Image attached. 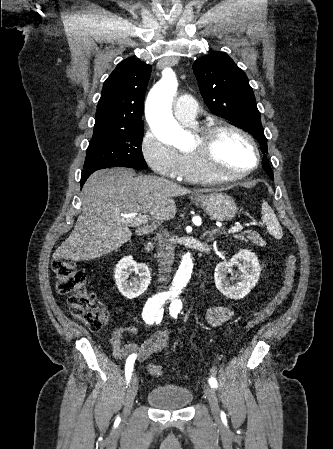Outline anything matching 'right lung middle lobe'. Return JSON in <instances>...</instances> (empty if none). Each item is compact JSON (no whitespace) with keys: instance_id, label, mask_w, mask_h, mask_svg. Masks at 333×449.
I'll return each mask as SVG.
<instances>
[{"instance_id":"obj_1","label":"right lung middle lobe","mask_w":333,"mask_h":449,"mask_svg":"<svg viewBox=\"0 0 333 449\" xmlns=\"http://www.w3.org/2000/svg\"><path fill=\"white\" fill-rule=\"evenodd\" d=\"M143 127L94 131L86 151L84 171L109 167L146 168L141 151Z\"/></svg>"}]
</instances>
